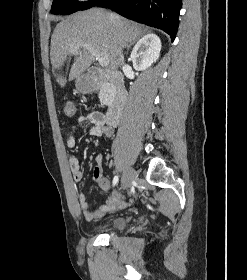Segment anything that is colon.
<instances>
[{
    "instance_id": "obj_1",
    "label": "colon",
    "mask_w": 247,
    "mask_h": 280,
    "mask_svg": "<svg viewBox=\"0 0 247 280\" xmlns=\"http://www.w3.org/2000/svg\"><path fill=\"white\" fill-rule=\"evenodd\" d=\"M76 105L72 101H68L64 106V113L67 117H74L76 115Z\"/></svg>"
}]
</instances>
